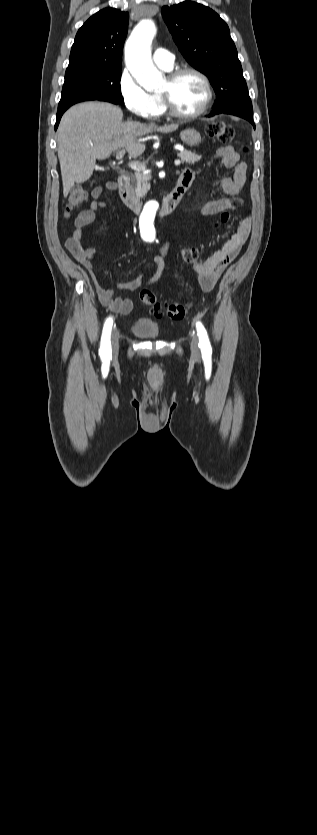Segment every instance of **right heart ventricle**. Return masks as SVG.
Instances as JSON below:
<instances>
[{"label": "right heart ventricle", "mask_w": 317, "mask_h": 835, "mask_svg": "<svg viewBox=\"0 0 317 835\" xmlns=\"http://www.w3.org/2000/svg\"><path fill=\"white\" fill-rule=\"evenodd\" d=\"M152 96H153V98H154V100L156 101V104H157V116L164 114L166 112V107L164 105V102H163L160 94H155V95H152Z\"/></svg>", "instance_id": "right-heart-ventricle-1"}]
</instances>
